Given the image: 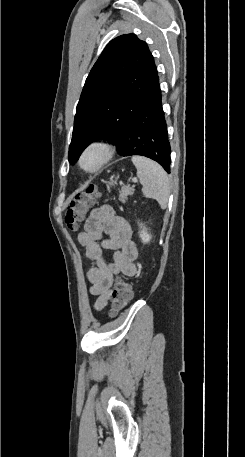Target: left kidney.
I'll use <instances>...</instances> for the list:
<instances>
[{
  "label": "left kidney",
  "instance_id": "left-kidney-1",
  "mask_svg": "<svg viewBox=\"0 0 245 457\" xmlns=\"http://www.w3.org/2000/svg\"><path fill=\"white\" fill-rule=\"evenodd\" d=\"M140 229H142L139 237L142 241V243H149V241H151L152 237L151 235H149L148 233V229H146V226H143V222H140Z\"/></svg>",
  "mask_w": 245,
  "mask_h": 457
}]
</instances>
